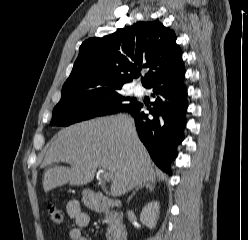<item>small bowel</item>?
I'll list each match as a JSON object with an SVG mask.
<instances>
[{
	"mask_svg": "<svg viewBox=\"0 0 248 240\" xmlns=\"http://www.w3.org/2000/svg\"><path fill=\"white\" fill-rule=\"evenodd\" d=\"M66 210L68 216L73 219L76 224V227L70 228L67 232L69 240H89L83 236L82 229L89 225L90 218L82 209L81 203L78 200H71L68 202Z\"/></svg>",
	"mask_w": 248,
	"mask_h": 240,
	"instance_id": "obj_1",
	"label": "small bowel"
}]
</instances>
